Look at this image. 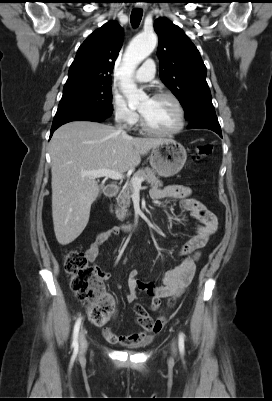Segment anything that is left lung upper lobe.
<instances>
[{
    "label": "left lung upper lobe",
    "instance_id": "obj_1",
    "mask_svg": "<svg viewBox=\"0 0 272 401\" xmlns=\"http://www.w3.org/2000/svg\"><path fill=\"white\" fill-rule=\"evenodd\" d=\"M154 29L159 36L160 78L180 101L186 120L215 114L206 67L195 45L166 18L155 20Z\"/></svg>",
    "mask_w": 272,
    "mask_h": 401
}]
</instances>
